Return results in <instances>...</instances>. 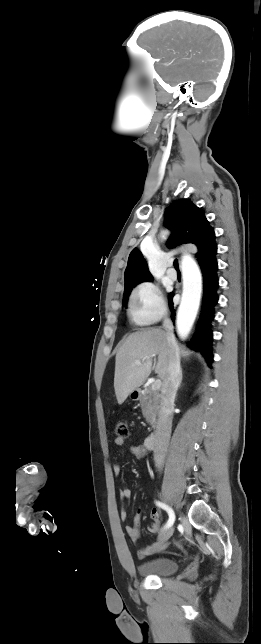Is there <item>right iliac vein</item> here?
Returning <instances> with one entry per match:
<instances>
[{
    "mask_svg": "<svg viewBox=\"0 0 261 644\" xmlns=\"http://www.w3.org/2000/svg\"><path fill=\"white\" fill-rule=\"evenodd\" d=\"M173 531H174V529L172 527L164 530L162 533H160L159 539L162 540V541L168 540L172 536Z\"/></svg>",
    "mask_w": 261,
    "mask_h": 644,
    "instance_id": "63e3f726",
    "label": "right iliac vein"
}]
</instances>
